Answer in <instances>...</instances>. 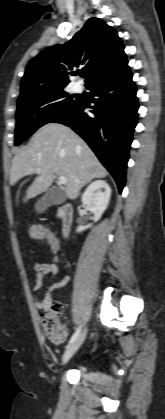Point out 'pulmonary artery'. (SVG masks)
Listing matches in <instances>:
<instances>
[{"instance_id":"pulmonary-artery-1","label":"pulmonary artery","mask_w":165,"mask_h":419,"mask_svg":"<svg viewBox=\"0 0 165 419\" xmlns=\"http://www.w3.org/2000/svg\"><path fill=\"white\" fill-rule=\"evenodd\" d=\"M73 89H74L75 92H80L81 91V86L79 84H77V85L74 86Z\"/></svg>"}]
</instances>
